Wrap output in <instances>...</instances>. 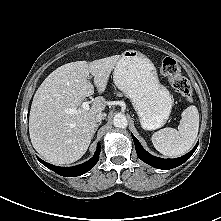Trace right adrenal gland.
Returning a JSON list of instances; mask_svg holds the SVG:
<instances>
[{
	"instance_id": "2a0ac1e0",
	"label": "right adrenal gland",
	"mask_w": 221,
	"mask_h": 221,
	"mask_svg": "<svg viewBox=\"0 0 221 221\" xmlns=\"http://www.w3.org/2000/svg\"><path fill=\"white\" fill-rule=\"evenodd\" d=\"M100 125H101V122L97 124V126H96V128H95V131H94V134H95V132L97 131V129H98V127H99ZM94 134H93V136H94Z\"/></svg>"
}]
</instances>
